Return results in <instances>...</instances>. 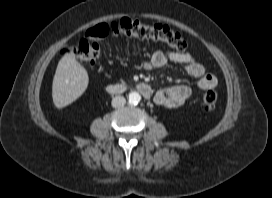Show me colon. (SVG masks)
I'll list each match as a JSON object with an SVG mask.
<instances>
[{
    "label": "colon",
    "mask_w": 272,
    "mask_h": 198,
    "mask_svg": "<svg viewBox=\"0 0 272 198\" xmlns=\"http://www.w3.org/2000/svg\"><path fill=\"white\" fill-rule=\"evenodd\" d=\"M109 34L161 40L179 52H184L187 49L186 40L169 27L160 24L148 25L138 19L124 17L94 25L75 45L68 47L66 53L83 62L95 63L101 55L99 41ZM216 102V91L212 88L207 89L202 96L203 107L210 110L215 107Z\"/></svg>",
    "instance_id": "1"
}]
</instances>
